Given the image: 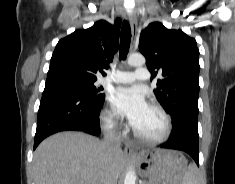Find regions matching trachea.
<instances>
[{
    "label": "trachea",
    "instance_id": "1",
    "mask_svg": "<svg viewBox=\"0 0 235 184\" xmlns=\"http://www.w3.org/2000/svg\"><path fill=\"white\" fill-rule=\"evenodd\" d=\"M131 42V29L129 23L125 20L122 24L120 35V59H125Z\"/></svg>",
    "mask_w": 235,
    "mask_h": 184
}]
</instances>
